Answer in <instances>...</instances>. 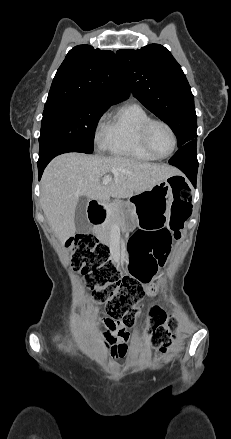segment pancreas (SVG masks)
Wrapping results in <instances>:
<instances>
[{
  "label": "pancreas",
  "mask_w": 231,
  "mask_h": 439,
  "mask_svg": "<svg viewBox=\"0 0 231 439\" xmlns=\"http://www.w3.org/2000/svg\"><path fill=\"white\" fill-rule=\"evenodd\" d=\"M111 217L105 228V232L108 231L112 224H120L124 218V214L127 212L125 210V204L123 201H115L110 205Z\"/></svg>",
  "instance_id": "1"
}]
</instances>
